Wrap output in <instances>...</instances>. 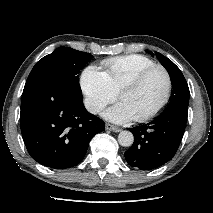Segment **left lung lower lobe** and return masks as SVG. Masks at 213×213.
I'll use <instances>...</instances> for the list:
<instances>
[{
	"label": "left lung lower lobe",
	"instance_id": "0a47b994",
	"mask_svg": "<svg viewBox=\"0 0 213 213\" xmlns=\"http://www.w3.org/2000/svg\"><path fill=\"white\" fill-rule=\"evenodd\" d=\"M188 110L165 109L156 119L145 125L129 128L134 144L124 153L132 167L155 169L172 159L182 140Z\"/></svg>",
	"mask_w": 213,
	"mask_h": 213
}]
</instances>
